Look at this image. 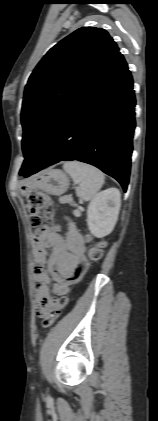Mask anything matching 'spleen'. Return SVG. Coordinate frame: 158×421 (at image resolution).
<instances>
[{
    "label": "spleen",
    "instance_id": "3e777b00",
    "mask_svg": "<svg viewBox=\"0 0 158 421\" xmlns=\"http://www.w3.org/2000/svg\"><path fill=\"white\" fill-rule=\"evenodd\" d=\"M63 168L78 185L76 194L83 201L93 200L104 184V174L89 164L71 161L64 163Z\"/></svg>",
    "mask_w": 158,
    "mask_h": 421
}]
</instances>
